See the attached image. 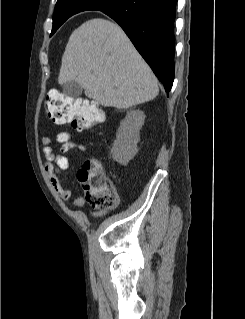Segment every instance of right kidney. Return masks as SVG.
I'll list each match as a JSON object with an SVG mask.
<instances>
[{"label": "right kidney", "instance_id": "obj_1", "mask_svg": "<svg viewBox=\"0 0 245 319\" xmlns=\"http://www.w3.org/2000/svg\"><path fill=\"white\" fill-rule=\"evenodd\" d=\"M145 114L140 110L127 113L120 123L111 149L112 157L121 165L126 166L137 154V143L140 140V130L144 125Z\"/></svg>", "mask_w": 245, "mask_h": 319}]
</instances>
